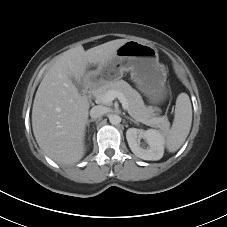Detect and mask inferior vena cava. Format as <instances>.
<instances>
[{
	"label": "inferior vena cava",
	"instance_id": "602c4592",
	"mask_svg": "<svg viewBox=\"0 0 227 227\" xmlns=\"http://www.w3.org/2000/svg\"><path fill=\"white\" fill-rule=\"evenodd\" d=\"M105 113H106V108H105L104 106H101V105L94 106V107L90 110V116L92 117V119L100 118V117H102Z\"/></svg>",
	"mask_w": 227,
	"mask_h": 227
}]
</instances>
